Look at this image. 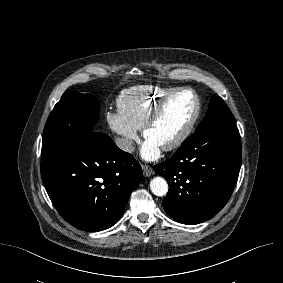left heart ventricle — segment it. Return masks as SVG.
<instances>
[{
  "label": "left heart ventricle",
  "instance_id": "left-heart-ventricle-1",
  "mask_svg": "<svg viewBox=\"0 0 283 283\" xmlns=\"http://www.w3.org/2000/svg\"><path fill=\"white\" fill-rule=\"evenodd\" d=\"M195 110V100L189 92L174 96L150 127L147 138L160 147L174 139L186 126Z\"/></svg>",
  "mask_w": 283,
  "mask_h": 283
}]
</instances>
